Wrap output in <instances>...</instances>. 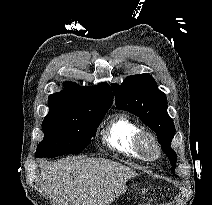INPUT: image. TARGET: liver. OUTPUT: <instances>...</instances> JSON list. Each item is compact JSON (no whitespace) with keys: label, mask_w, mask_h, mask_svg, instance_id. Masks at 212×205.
Wrapping results in <instances>:
<instances>
[{"label":"liver","mask_w":212,"mask_h":205,"mask_svg":"<svg viewBox=\"0 0 212 205\" xmlns=\"http://www.w3.org/2000/svg\"><path fill=\"white\" fill-rule=\"evenodd\" d=\"M135 176L130 168L100 158L53 162L41 169L43 187L57 205H109Z\"/></svg>","instance_id":"obj_1"}]
</instances>
